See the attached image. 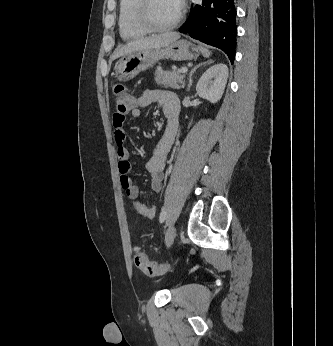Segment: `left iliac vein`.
Wrapping results in <instances>:
<instances>
[{"instance_id":"4c4485c4","label":"left iliac vein","mask_w":333,"mask_h":346,"mask_svg":"<svg viewBox=\"0 0 333 346\" xmlns=\"http://www.w3.org/2000/svg\"><path fill=\"white\" fill-rule=\"evenodd\" d=\"M175 236H176V227L172 224L167 229L166 236H165V243L167 247H169L173 243Z\"/></svg>"}]
</instances>
